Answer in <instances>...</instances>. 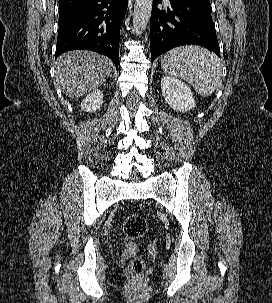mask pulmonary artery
Wrapping results in <instances>:
<instances>
[{"mask_svg": "<svg viewBox=\"0 0 272 303\" xmlns=\"http://www.w3.org/2000/svg\"><path fill=\"white\" fill-rule=\"evenodd\" d=\"M165 2H167V3H168V2H169V0H165Z\"/></svg>", "mask_w": 272, "mask_h": 303, "instance_id": "pulmonary-artery-1", "label": "pulmonary artery"}]
</instances>
